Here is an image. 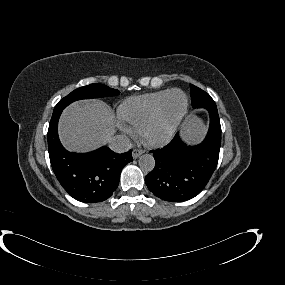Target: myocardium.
<instances>
[{
	"label": "myocardium",
	"mask_w": 285,
	"mask_h": 285,
	"mask_svg": "<svg viewBox=\"0 0 285 285\" xmlns=\"http://www.w3.org/2000/svg\"><path fill=\"white\" fill-rule=\"evenodd\" d=\"M175 93H180L183 96L184 98L183 106L179 111V113L171 121L167 130L161 134H156V132L161 128V126L166 121L169 111L170 98ZM187 110H188L187 95L180 89L170 90L167 96L165 97L164 101L162 102L157 115L146 125V127L141 133L142 139L145 142V144L151 147H158L170 142L176 135L178 128L185 114L187 113Z\"/></svg>",
	"instance_id": "f54148a6"
}]
</instances>
